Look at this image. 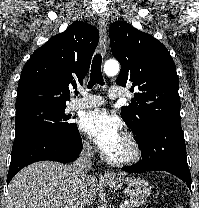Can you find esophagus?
<instances>
[{
	"label": "esophagus",
	"mask_w": 199,
	"mask_h": 208,
	"mask_svg": "<svg viewBox=\"0 0 199 208\" xmlns=\"http://www.w3.org/2000/svg\"><path fill=\"white\" fill-rule=\"evenodd\" d=\"M98 28L100 32V49L102 56H105L107 51V27L103 16L98 18ZM104 178L114 179L115 175L109 171H105L103 174Z\"/></svg>",
	"instance_id": "34e87169"
}]
</instances>
